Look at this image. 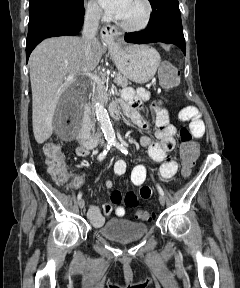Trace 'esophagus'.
I'll return each instance as SVG.
<instances>
[{
	"label": "esophagus",
	"instance_id": "1",
	"mask_svg": "<svg viewBox=\"0 0 240 288\" xmlns=\"http://www.w3.org/2000/svg\"><path fill=\"white\" fill-rule=\"evenodd\" d=\"M118 30L111 25L104 26L101 29V37L102 40L105 41L107 44H112L115 42L116 37L119 36Z\"/></svg>",
	"mask_w": 240,
	"mask_h": 288
}]
</instances>
